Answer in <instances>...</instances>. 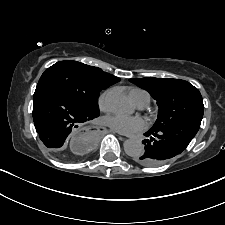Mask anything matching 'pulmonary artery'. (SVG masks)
Masks as SVG:
<instances>
[{
  "instance_id": "1",
  "label": "pulmonary artery",
  "mask_w": 225,
  "mask_h": 225,
  "mask_svg": "<svg viewBox=\"0 0 225 225\" xmlns=\"http://www.w3.org/2000/svg\"><path fill=\"white\" fill-rule=\"evenodd\" d=\"M136 105L140 108H144L148 105L149 101H148V98L145 97V96H141L140 98H138L136 101H135Z\"/></svg>"
}]
</instances>
